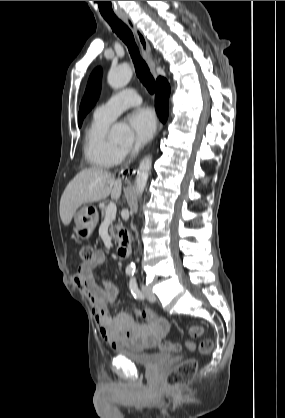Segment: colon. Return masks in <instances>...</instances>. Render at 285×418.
I'll use <instances>...</instances> for the list:
<instances>
[{"label": "colon", "instance_id": "1", "mask_svg": "<svg viewBox=\"0 0 285 418\" xmlns=\"http://www.w3.org/2000/svg\"><path fill=\"white\" fill-rule=\"evenodd\" d=\"M80 259L84 263H92L97 258V252L92 246H84L79 252ZM204 329L201 326L190 327L189 334L193 338H199L203 335ZM214 346V341L210 337L203 338L199 343V352L202 355L208 354ZM187 347V343H186ZM160 349L164 351L178 352L182 349L180 343L163 342ZM198 368V361L194 358L186 359L176 365L166 376L164 385L167 388L178 387L188 384L194 377Z\"/></svg>", "mask_w": 285, "mask_h": 418}]
</instances>
